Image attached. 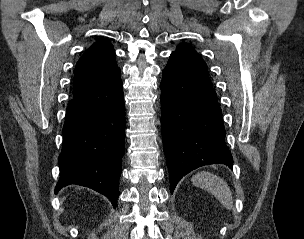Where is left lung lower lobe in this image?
I'll use <instances>...</instances> for the list:
<instances>
[{
	"instance_id": "1",
	"label": "left lung lower lobe",
	"mask_w": 304,
	"mask_h": 239,
	"mask_svg": "<svg viewBox=\"0 0 304 239\" xmlns=\"http://www.w3.org/2000/svg\"><path fill=\"white\" fill-rule=\"evenodd\" d=\"M161 126L170 191L190 171L208 164L233 165L222 111L211 80L175 54L163 70Z\"/></svg>"
}]
</instances>
